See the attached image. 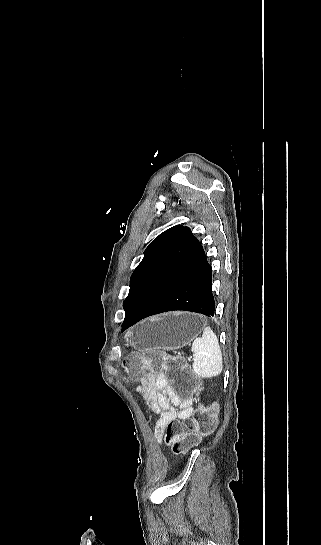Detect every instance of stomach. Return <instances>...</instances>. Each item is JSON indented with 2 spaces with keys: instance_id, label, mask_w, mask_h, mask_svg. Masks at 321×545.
Here are the masks:
<instances>
[{
  "instance_id": "obj_1",
  "label": "stomach",
  "mask_w": 321,
  "mask_h": 545,
  "mask_svg": "<svg viewBox=\"0 0 321 545\" xmlns=\"http://www.w3.org/2000/svg\"><path fill=\"white\" fill-rule=\"evenodd\" d=\"M205 327V317L194 313H163L140 321L124 335L125 347L135 351H174L191 343Z\"/></svg>"
}]
</instances>
